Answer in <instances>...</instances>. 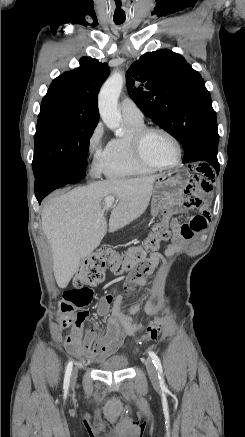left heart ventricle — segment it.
<instances>
[{
    "mask_svg": "<svg viewBox=\"0 0 245 437\" xmlns=\"http://www.w3.org/2000/svg\"><path fill=\"white\" fill-rule=\"evenodd\" d=\"M142 151L149 161L160 165H170L177 157L173 142L160 132H150L144 137Z\"/></svg>",
    "mask_w": 245,
    "mask_h": 437,
    "instance_id": "b2bd125f",
    "label": "left heart ventricle"
}]
</instances>
